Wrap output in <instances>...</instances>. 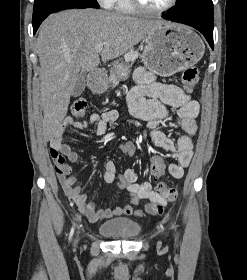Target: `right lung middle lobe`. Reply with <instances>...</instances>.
<instances>
[{
    "mask_svg": "<svg viewBox=\"0 0 247 280\" xmlns=\"http://www.w3.org/2000/svg\"><path fill=\"white\" fill-rule=\"evenodd\" d=\"M99 8L96 0H35L32 22L43 21L49 14L67 7Z\"/></svg>",
    "mask_w": 247,
    "mask_h": 280,
    "instance_id": "right-lung-middle-lobe-1",
    "label": "right lung middle lobe"
}]
</instances>
